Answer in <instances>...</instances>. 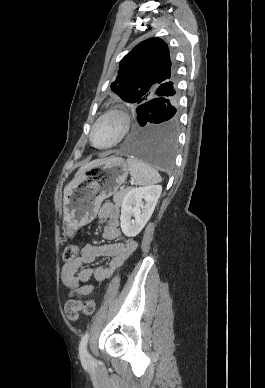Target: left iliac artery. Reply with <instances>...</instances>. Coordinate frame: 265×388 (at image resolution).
<instances>
[{
    "label": "left iliac artery",
    "instance_id": "obj_1",
    "mask_svg": "<svg viewBox=\"0 0 265 388\" xmlns=\"http://www.w3.org/2000/svg\"><path fill=\"white\" fill-rule=\"evenodd\" d=\"M88 338H89V333L86 332L82 338H81V342H80V345H79V354L80 356L82 357H86L88 356V352H87V342H88Z\"/></svg>",
    "mask_w": 265,
    "mask_h": 388
}]
</instances>
